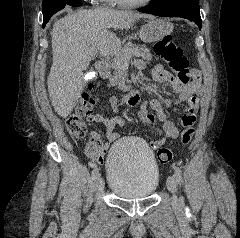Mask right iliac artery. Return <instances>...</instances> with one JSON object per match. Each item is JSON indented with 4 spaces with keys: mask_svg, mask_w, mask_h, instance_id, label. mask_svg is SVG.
<instances>
[{
    "mask_svg": "<svg viewBox=\"0 0 240 238\" xmlns=\"http://www.w3.org/2000/svg\"><path fill=\"white\" fill-rule=\"evenodd\" d=\"M98 176H99V169L95 167L94 170L92 171V178L95 180L98 178Z\"/></svg>",
    "mask_w": 240,
    "mask_h": 238,
    "instance_id": "1",
    "label": "right iliac artery"
}]
</instances>
